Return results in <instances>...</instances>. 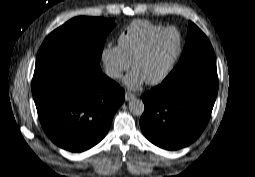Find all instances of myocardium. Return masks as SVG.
Returning <instances> with one entry per match:
<instances>
[{"label":"myocardium","mask_w":255,"mask_h":177,"mask_svg":"<svg viewBox=\"0 0 255 177\" xmlns=\"http://www.w3.org/2000/svg\"><path fill=\"white\" fill-rule=\"evenodd\" d=\"M168 31H174L177 36H178V41H179V45H178V50L175 53V55L173 56V58L170 60V62L168 63L167 67L164 69V71L155 79L152 80H148L146 81L149 85H156L159 84L161 82H163L172 72L174 66L176 65L177 61L179 60V58L182 55L183 52V48H184V43H183V37L180 33V31L175 28V27H165L155 33H153L145 42V44L142 46V48L137 52V54L135 55V57L133 58V60L131 61V68H133L134 64L142 59L149 51V49L151 48L152 44L154 43V41L163 33L168 32Z\"/></svg>","instance_id":"obj_1"}]
</instances>
